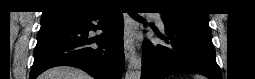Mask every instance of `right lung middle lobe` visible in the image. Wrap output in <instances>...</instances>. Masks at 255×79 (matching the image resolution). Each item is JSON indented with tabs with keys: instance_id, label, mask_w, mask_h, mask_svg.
<instances>
[{
	"instance_id": "dd1d6c3e",
	"label": "right lung middle lobe",
	"mask_w": 255,
	"mask_h": 79,
	"mask_svg": "<svg viewBox=\"0 0 255 79\" xmlns=\"http://www.w3.org/2000/svg\"><path fill=\"white\" fill-rule=\"evenodd\" d=\"M71 16H75V15H71V14H67V13H61L58 15H54V16H50V17H45L41 19V24H47V23H52V22H56L62 19H66L68 17Z\"/></svg>"
}]
</instances>
